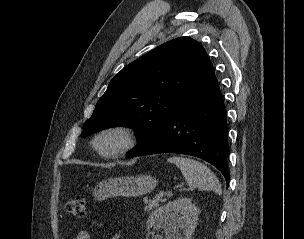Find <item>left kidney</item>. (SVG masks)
Wrapping results in <instances>:
<instances>
[{
    "label": "left kidney",
    "instance_id": "1",
    "mask_svg": "<svg viewBox=\"0 0 304 239\" xmlns=\"http://www.w3.org/2000/svg\"><path fill=\"white\" fill-rule=\"evenodd\" d=\"M198 214L199 209L189 198H179L154 211L146 226L147 229H163L167 239H191L197 226ZM180 231H183L184 237ZM158 238L160 237L156 236L154 239Z\"/></svg>",
    "mask_w": 304,
    "mask_h": 239
}]
</instances>
